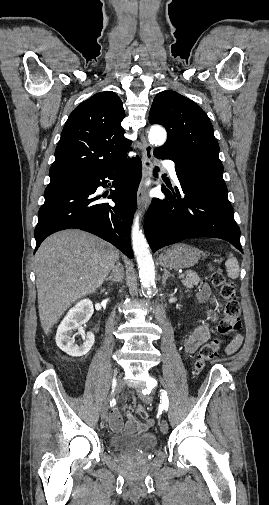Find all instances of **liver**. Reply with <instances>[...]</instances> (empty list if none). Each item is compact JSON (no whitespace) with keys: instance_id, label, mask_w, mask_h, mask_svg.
<instances>
[{"instance_id":"6515ba94","label":"liver","mask_w":269,"mask_h":505,"mask_svg":"<svg viewBox=\"0 0 269 505\" xmlns=\"http://www.w3.org/2000/svg\"><path fill=\"white\" fill-rule=\"evenodd\" d=\"M118 258L113 245L80 230L60 231L44 240L35 255V272L46 334L75 301L102 285Z\"/></svg>"}]
</instances>
